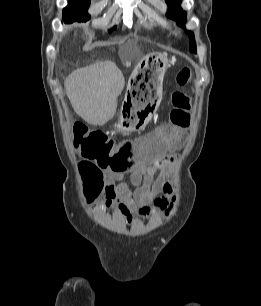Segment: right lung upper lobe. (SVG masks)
Masks as SVG:
<instances>
[{
    "label": "right lung upper lobe",
    "mask_w": 261,
    "mask_h": 306,
    "mask_svg": "<svg viewBox=\"0 0 261 306\" xmlns=\"http://www.w3.org/2000/svg\"><path fill=\"white\" fill-rule=\"evenodd\" d=\"M74 1H76V0H69V2H74Z\"/></svg>",
    "instance_id": "1"
}]
</instances>
